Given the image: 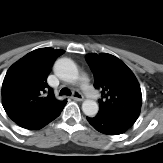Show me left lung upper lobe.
Returning <instances> with one entry per match:
<instances>
[{
  "label": "left lung upper lobe",
  "instance_id": "5c2ea615",
  "mask_svg": "<svg viewBox=\"0 0 163 163\" xmlns=\"http://www.w3.org/2000/svg\"><path fill=\"white\" fill-rule=\"evenodd\" d=\"M85 58L94 73V86L101 92L98 114L137 119L142 96L132 71L120 59L107 53H92Z\"/></svg>",
  "mask_w": 163,
  "mask_h": 163
}]
</instances>
